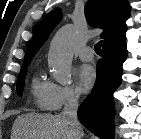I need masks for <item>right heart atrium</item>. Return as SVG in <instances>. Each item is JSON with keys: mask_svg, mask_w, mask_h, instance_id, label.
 <instances>
[{"mask_svg": "<svg viewBox=\"0 0 141 139\" xmlns=\"http://www.w3.org/2000/svg\"><path fill=\"white\" fill-rule=\"evenodd\" d=\"M78 100L79 94L74 87L50 83L49 110L60 111L64 107L75 105Z\"/></svg>", "mask_w": 141, "mask_h": 139, "instance_id": "1", "label": "right heart atrium"}]
</instances>
